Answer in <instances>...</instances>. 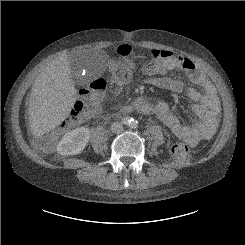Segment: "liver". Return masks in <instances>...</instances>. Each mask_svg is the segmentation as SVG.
<instances>
[{
  "label": "liver",
  "mask_w": 245,
  "mask_h": 245,
  "mask_svg": "<svg viewBox=\"0 0 245 245\" xmlns=\"http://www.w3.org/2000/svg\"><path fill=\"white\" fill-rule=\"evenodd\" d=\"M76 101L67 55L49 63L33 83L29 101L30 129L40 137L58 127L69 115Z\"/></svg>",
  "instance_id": "obj_1"
}]
</instances>
